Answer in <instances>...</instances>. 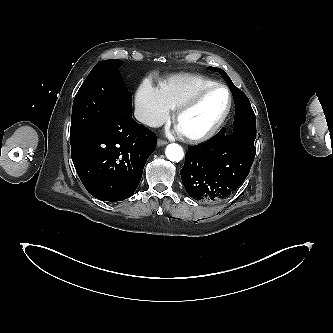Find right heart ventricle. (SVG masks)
<instances>
[{
    "label": "right heart ventricle",
    "mask_w": 333,
    "mask_h": 333,
    "mask_svg": "<svg viewBox=\"0 0 333 333\" xmlns=\"http://www.w3.org/2000/svg\"><path fill=\"white\" fill-rule=\"evenodd\" d=\"M214 83L213 79L203 75L182 73L162 81L159 91L170 110H176L197 91Z\"/></svg>",
    "instance_id": "1"
}]
</instances>
